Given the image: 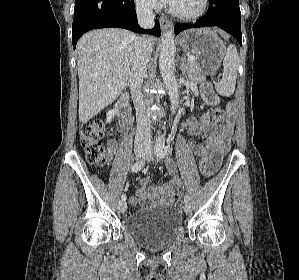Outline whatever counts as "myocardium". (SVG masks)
I'll return each mask as SVG.
<instances>
[{
    "label": "myocardium",
    "mask_w": 299,
    "mask_h": 280,
    "mask_svg": "<svg viewBox=\"0 0 299 280\" xmlns=\"http://www.w3.org/2000/svg\"><path fill=\"white\" fill-rule=\"evenodd\" d=\"M208 6H209V0H202L200 9L197 12L192 13V14H186V13L179 12L171 4H169L168 10L173 16H175L177 18H180L183 20H196V19H199L200 17H202L206 13Z\"/></svg>",
    "instance_id": "obj_1"
}]
</instances>
